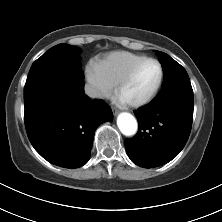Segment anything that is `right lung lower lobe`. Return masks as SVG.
<instances>
[{
  "label": "right lung lower lobe",
  "mask_w": 222,
  "mask_h": 222,
  "mask_svg": "<svg viewBox=\"0 0 222 222\" xmlns=\"http://www.w3.org/2000/svg\"><path fill=\"white\" fill-rule=\"evenodd\" d=\"M82 89L73 101L37 99L24 104L25 127L36 151L50 163L78 168L90 157L94 132L103 122L112 121L110 107L93 102Z\"/></svg>",
  "instance_id": "98d812e1"
}]
</instances>
